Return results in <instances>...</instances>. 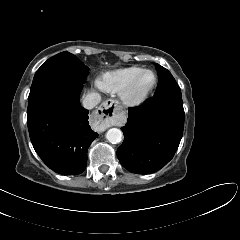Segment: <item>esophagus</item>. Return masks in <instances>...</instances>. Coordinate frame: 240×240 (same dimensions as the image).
<instances>
[{"mask_svg": "<svg viewBox=\"0 0 240 240\" xmlns=\"http://www.w3.org/2000/svg\"><path fill=\"white\" fill-rule=\"evenodd\" d=\"M118 103L115 100L103 102L95 112V121L103 128L113 125L116 118Z\"/></svg>", "mask_w": 240, "mask_h": 240, "instance_id": "34e87169", "label": "esophagus"}]
</instances>
